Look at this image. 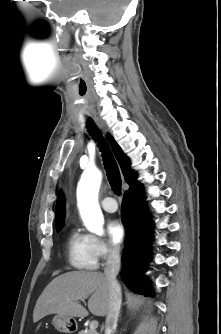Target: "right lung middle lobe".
Wrapping results in <instances>:
<instances>
[{"label":"right lung middle lobe","mask_w":221,"mask_h":334,"mask_svg":"<svg viewBox=\"0 0 221 334\" xmlns=\"http://www.w3.org/2000/svg\"><path fill=\"white\" fill-rule=\"evenodd\" d=\"M60 229H61V227L60 228H56L57 231H59Z\"/></svg>","instance_id":"dd1d6c3e"}]
</instances>
